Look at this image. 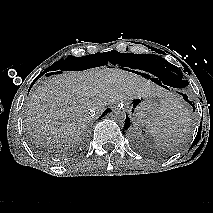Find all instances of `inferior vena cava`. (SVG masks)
Returning a JSON list of instances; mask_svg holds the SVG:
<instances>
[{
  "mask_svg": "<svg viewBox=\"0 0 213 213\" xmlns=\"http://www.w3.org/2000/svg\"><path fill=\"white\" fill-rule=\"evenodd\" d=\"M89 115H90V116H93V115H94V111H93V110H90V111H89Z\"/></svg>",
  "mask_w": 213,
  "mask_h": 213,
  "instance_id": "inferior-vena-cava-1",
  "label": "inferior vena cava"
}]
</instances>
